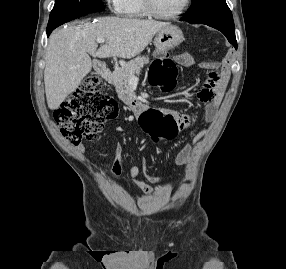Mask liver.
Instances as JSON below:
<instances>
[{
    "instance_id": "6515ba94",
    "label": "liver",
    "mask_w": 286,
    "mask_h": 269,
    "mask_svg": "<svg viewBox=\"0 0 286 269\" xmlns=\"http://www.w3.org/2000/svg\"><path fill=\"white\" fill-rule=\"evenodd\" d=\"M168 22L118 17L60 29L49 38L44 83L48 107L57 109L91 71L89 56L130 59L139 55ZM106 43L97 50V39Z\"/></svg>"
}]
</instances>
